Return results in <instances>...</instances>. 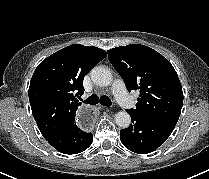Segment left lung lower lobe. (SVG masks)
Wrapping results in <instances>:
<instances>
[{
    "label": "left lung lower lobe",
    "mask_w": 209,
    "mask_h": 179,
    "mask_svg": "<svg viewBox=\"0 0 209 179\" xmlns=\"http://www.w3.org/2000/svg\"><path fill=\"white\" fill-rule=\"evenodd\" d=\"M132 125L120 131L122 144L129 150L146 154L156 150L170 136L176 123L127 110Z\"/></svg>",
    "instance_id": "0a47b994"
}]
</instances>
